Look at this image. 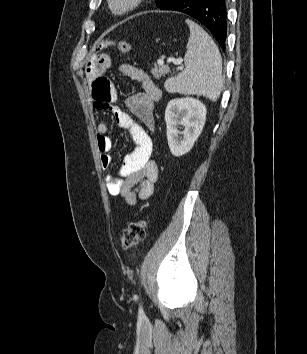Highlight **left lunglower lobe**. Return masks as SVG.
<instances>
[{
    "instance_id": "1",
    "label": "left lung lower lobe",
    "mask_w": 307,
    "mask_h": 354,
    "mask_svg": "<svg viewBox=\"0 0 307 354\" xmlns=\"http://www.w3.org/2000/svg\"><path fill=\"white\" fill-rule=\"evenodd\" d=\"M160 9L179 11L194 17L208 28L221 48L225 50L226 0H170Z\"/></svg>"
}]
</instances>
